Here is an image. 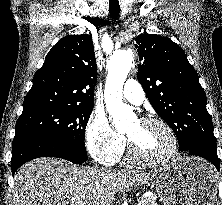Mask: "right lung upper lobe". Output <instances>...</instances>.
I'll list each match as a JSON object with an SVG mask.
<instances>
[{
	"instance_id": "right-lung-upper-lobe-1",
	"label": "right lung upper lobe",
	"mask_w": 222,
	"mask_h": 205,
	"mask_svg": "<svg viewBox=\"0 0 222 205\" xmlns=\"http://www.w3.org/2000/svg\"><path fill=\"white\" fill-rule=\"evenodd\" d=\"M96 81L92 37L65 36L51 48L36 72L22 113L52 106H93Z\"/></svg>"
}]
</instances>
